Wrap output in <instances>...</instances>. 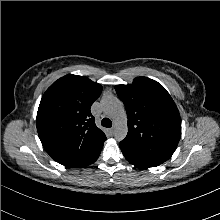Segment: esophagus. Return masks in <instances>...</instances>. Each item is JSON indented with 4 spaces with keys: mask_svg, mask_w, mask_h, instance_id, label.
Returning <instances> with one entry per match:
<instances>
[{
    "mask_svg": "<svg viewBox=\"0 0 220 220\" xmlns=\"http://www.w3.org/2000/svg\"><path fill=\"white\" fill-rule=\"evenodd\" d=\"M109 132L112 134V133L114 132V128H113V127L110 128V129H109Z\"/></svg>",
    "mask_w": 220,
    "mask_h": 220,
    "instance_id": "1",
    "label": "esophagus"
}]
</instances>
